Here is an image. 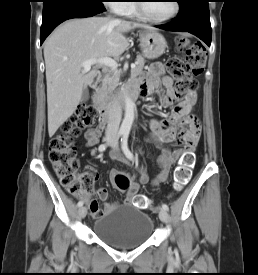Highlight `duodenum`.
I'll use <instances>...</instances> for the list:
<instances>
[{"instance_id":"obj_1","label":"duodenum","mask_w":258,"mask_h":275,"mask_svg":"<svg viewBox=\"0 0 258 275\" xmlns=\"http://www.w3.org/2000/svg\"><path fill=\"white\" fill-rule=\"evenodd\" d=\"M98 81V75L95 74L89 81V85L91 88H96ZM140 95L139 88L136 87H127L126 90L122 95H120L116 100H114L111 105L104 106L100 105L98 106V114L99 118L103 123H106L110 117L115 113L116 106L119 103H127L129 101H132L133 99L137 98Z\"/></svg>"}]
</instances>
